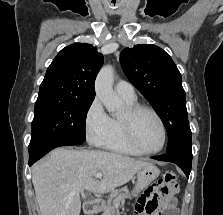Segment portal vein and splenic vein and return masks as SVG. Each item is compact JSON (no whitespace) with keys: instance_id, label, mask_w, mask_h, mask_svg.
Segmentation results:
<instances>
[{"instance_id":"obj_1","label":"portal vein and splenic vein","mask_w":223,"mask_h":215,"mask_svg":"<svg viewBox=\"0 0 223 215\" xmlns=\"http://www.w3.org/2000/svg\"><path fill=\"white\" fill-rule=\"evenodd\" d=\"M94 177H102V173H96ZM115 207H119V203H116Z\"/></svg>"}]
</instances>
